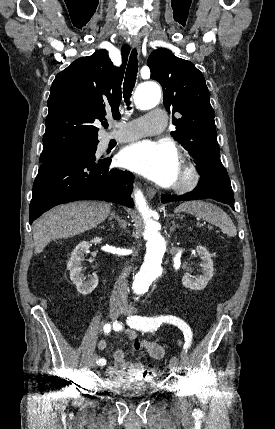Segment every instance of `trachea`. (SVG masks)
I'll return each mask as SVG.
<instances>
[{
	"mask_svg": "<svg viewBox=\"0 0 275 429\" xmlns=\"http://www.w3.org/2000/svg\"><path fill=\"white\" fill-rule=\"evenodd\" d=\"M137 72H138L137 50L133 49L129 58L127 69H126L124 86H123V94H124V99L127 106L130 105L129 99L131 97L132 90L135 86ZM128 109H130V107H128ZM103 126L107 128L108 123H104Z\"/></svg>",
	"mask_w": 275,
	"mask_h": 429,
	"instance_id": "trachea-1",
	"label": "trachea"
}]
</instances>
